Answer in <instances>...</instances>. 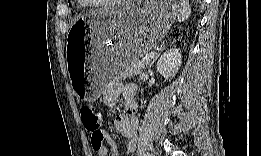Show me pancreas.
<instances>
[{
    "mask_svg": "<svg viewBox=\"0 0 261 156\" xmlns=\"http://www.w3.org/2000/svg\"><path fill=\"white\" fill-rule=\"evenodd\" d=\"M145 54H143L141 57H143ZM141 57L133 59L132 63L124 68L122 77H130L141 73L145 66L150 62V60L140 59Z\"/></svg>",
    "mask_w": 261,
    "mask_h": 156,
    "instance_id": "obj_1",
    "label": "pancreas"
}]
</instances>
